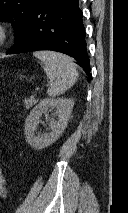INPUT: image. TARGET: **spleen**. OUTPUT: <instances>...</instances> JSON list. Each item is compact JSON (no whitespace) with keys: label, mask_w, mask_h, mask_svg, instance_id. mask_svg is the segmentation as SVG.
Here are the masks:
<instances>
[{"label":"spleen","mask_w":128,"mask_h":213,"mask_svg":"<svg viewBox=\"0 0 128 213\" xmlns=\"http://www.w3.org/2000/svg\"><path fill=\"white\" fill-rule=\"evenodd\" d=\"M33 55L43 63V69L51 84L50 97L63 94L77 81L78 71L72 58L53 51H35Z\"/></svg>","instance_id":"3e777b00"}]
</instances>
